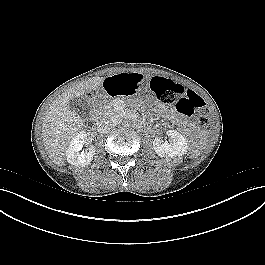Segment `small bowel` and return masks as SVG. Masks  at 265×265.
Instances as JSON below:
<instances>
[{
    "label": "small bowel",
    "mask_w": 265,
    "mask_h": 265,
    "mask_svg": "<svg viewBox=\"0 0 265 265\" xmlns=\"http://www.w3.org/2000/svg\"><path fill=\"white\" fill-rule=\"evenodd\" d=\"M145 85V78L138 73L120 74L108 77L104 86L107 92L111 95H120L130 97L136 93L137 89L143 88ZM161 113L169 118L176 117V111L166 107H160Z\"/></svg>",
    "instance_id": "small-bowel-1"
}]
</instances>
